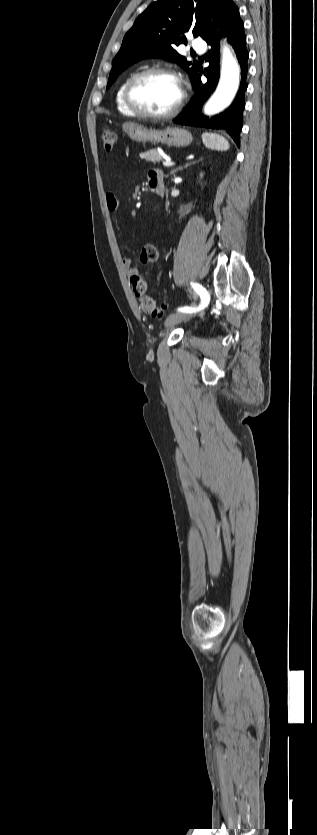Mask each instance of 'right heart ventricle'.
Here are the masks:
<instances>
[{
	"instance_id": "obj_1",
	"label": "right heart ventricle",
	"mask_w": 317,
	"mask_h": 835,
	"mask_svg": "<svg viewBox=\"0 0 317 835\" xmlns=\"http://www.w3.org/2000/svg\"><path fill=\"white\" fill-rule=\"evenodd\" d=\"M134 74H136V72H131V73H129V74H128V75H127V76H126V77L122 80V82L120 83V85H119V87H118V89H117V92H116V97H115L116 107H117L118 111H119V112H121V113H122V114H124V115H127V116H136V115H135V114H134V113H133V112L129 109V107L127 106V104H126V102H125V100H124V91H125V87H126L127 83L129 82V80L131 79V77H132Z\"/></svg>"
}]
</instances>
